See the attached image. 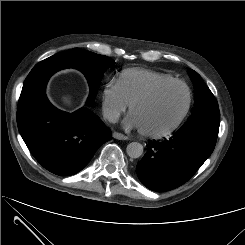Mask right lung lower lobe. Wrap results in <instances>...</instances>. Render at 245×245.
<instances>
[{"instance_id": "1", "label": "right lung lower lobe", "mask_w": 245, "mask_h": 245, "mask_svg": "<svg viewBox=\"0 0 245 245\" xmlns=\"http://www.w3.org/2000/svg\"><path fill=\"white\" fill-rule=\"evenodd\" d=\"M17 124L32 155L60 176L82 170L111 137V130L89 109L63 112L45 94L17 111Z\"/></svg>"}]
</instances>
